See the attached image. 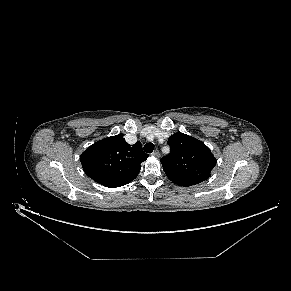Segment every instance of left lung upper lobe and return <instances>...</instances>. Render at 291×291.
<instances>
[{"mask_svg":"<svg viewBox=\"0 0 291 291\" xmlns=\"http://www.w3.org/2000/svg\"><path fill=\"white\" fill-rule=\"evenodd\" d=\"M170 153L161 159L167 177L175 184L189 187L210 177L216 159L200 140L184 133L169 137Z\"/></svg>","mask_w":291,"mask_h":291,"instance_id":"obj_1","label":"left lung upper lobe"}]
</instances>
